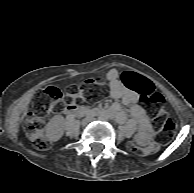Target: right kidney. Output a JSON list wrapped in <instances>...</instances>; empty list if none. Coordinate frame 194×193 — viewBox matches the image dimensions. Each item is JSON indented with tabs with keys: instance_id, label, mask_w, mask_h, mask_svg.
Wrapping results in <instances>:
<instances>
[{
	"instance_id": "ca27d5eb",
	"label": "right kidney",
	"mask_w": 194,
	"mask_h": 193,
	"mask_svg": "<svg viewBox=\"0 0 194 193\" xmlns=\"http://www.w3.org/2000/svg\"><path fill=\"white\" fill-rule=\"evenodd\" d=\"M47 136L51 141H57L63 136V128L58 117H53L48 123Z\"/></svg>"
}]
</instances>
